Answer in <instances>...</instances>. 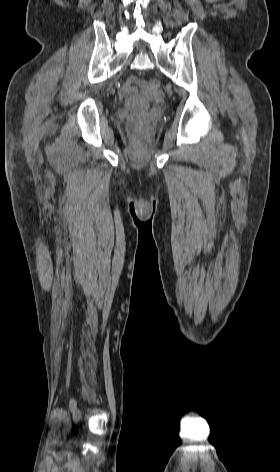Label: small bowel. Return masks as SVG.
Listing matches in <instances>:
<instances>
[{
    "label": "small bowel",
    "instance_id": "c3829d8e",
    "mask_svg": "<svg viewBox=\"0 0 280 472\" xmlns=\"http://www.w3.org/2000/svg\"><path fill=\"white\" fill-rule=\"evenodd\" d=\"M136 87H145V83L136 77H130L123 87V93H134L136 91Z\"/></svg>",
    "mask_w": 280,
    "mask_h": 472
}]
</instances>
